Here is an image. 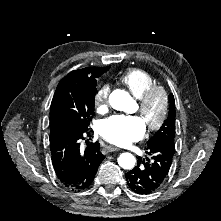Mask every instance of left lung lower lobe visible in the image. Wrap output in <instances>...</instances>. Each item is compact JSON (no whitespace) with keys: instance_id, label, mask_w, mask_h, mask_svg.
I'll return each instance as SVG.
<instances>
[{"instance_id":"1","label":"left lung lower lobe","mask_w":221,"mask_h":221,"mask_svg":"<svg viewBox=\"0 0 221 221\" xmlns=\"http://www.w3.org/2000/svg\"><path fill=\"white\" fill-rule=\"evenodd\" d=\"M152 160L147 162L138 158V165L126 173L129 187L138 194H150L158 190L165 182L174 155V146L163 142L156 146L147 147Z\"/></svg>"}]
</instances>
